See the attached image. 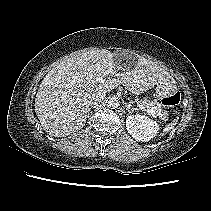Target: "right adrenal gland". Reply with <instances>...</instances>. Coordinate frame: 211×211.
<instances>
[{"instance_id":"2a0ac1e0","label":"right adrenal gland","mask_w":211,"mask_h":211,"mask_svg":"<svg viewBox=\"0 0 211 211\" xmlns=\"http://www.w3.org/2000/svg\"><path fill=\"white\" fill-rule=\"evenodd\" d=\"M91 108H92V107H90L89 110H88V112H89V113H88V116H89V114H90Z\"/></svg>"}]
</instances>
